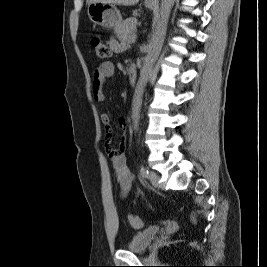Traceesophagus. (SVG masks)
Listing matches in <instances>:
<instances>
[{
    "label": "esophagus",
    "mask_w": 267,
    "mask_h": 267,
    "mask_svg": "<svg viewBox=\"0 0 267 267\" xmlns=\"http://www.w3.org/2000/svg\"><path fill=\"white\" fill-rule=\"evenodd\" d=\"M147 1H152V2H156V1H158V0H147Z\"/></svg>",
    "instance_id": "1"
}]
</instances>
